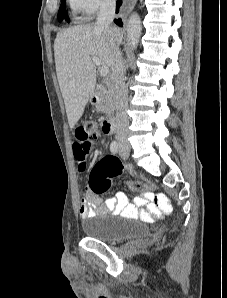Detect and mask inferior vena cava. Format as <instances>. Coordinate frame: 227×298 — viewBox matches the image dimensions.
Listing matches in <instances>:
<instances>
[{
  "label": "inferior vena cava",
  "instance_id": "602c4592",
  "mask_svg": "<svg viewBox=\"0 0 227 298\" xmlns=\"http://www.w3.org/2000/svg\"><path fill=\"white\" fill-rule=\"evenodd\" d=\"M115 16V0H102L99 13L96 18V26L109 29ZM126 65L122 53L117 46L113 64L111 67V81L114 99L116 103V139L119 142H126L128 138L129 118L128 89L125 84Z\"/></svg>",
  "mask_w": 227,
  "mask_h": 298
}]
</instances>
